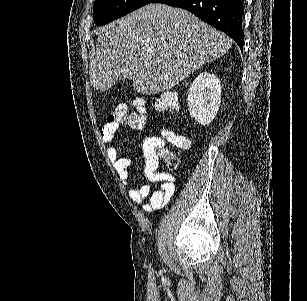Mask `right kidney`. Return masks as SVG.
I'll list each match as a JSON object with an SVG mask.
<instances>
[{"label":"right kidney","mask_w":307,"mask_h":301,"mask_svg":"<svg viewBox=\"0 0 307 301\" xmlns=\"http://www.w3.org/2000/svg\"><path fill=\"white\" fill-rule=\"evenodd\" d=\"M221 102V80L211 72H200L194 78L187 96L188 110L201 126L215 118Z\"/></svg>","instance_id":"ca27d5eb"}]
</instances>
